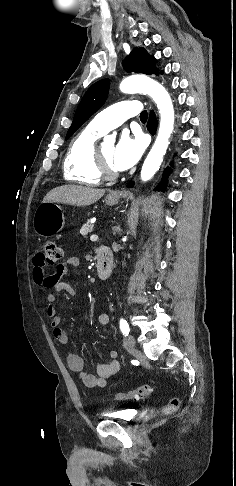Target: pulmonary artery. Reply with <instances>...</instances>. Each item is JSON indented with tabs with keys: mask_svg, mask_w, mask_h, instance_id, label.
Here are the masks:
<instances>
[{
	"mask_svg": "<svg viewBox=\"0 0 236 486\" xmlns=\"http://www.w3.org/2000/svg\"><path fill=\"white\" fill-rule=\"evenodd\" d=\"M142 105L139 101L118 102L97 114L88 127L100 135L120 126L127 119L141 113Z\"/></svg>",
	"mask_w": 236,
	"mask_h": 486,
	"instance_id": "e3ab8cb5",
	"label": "pulmonary artery"
}]
</instances>
